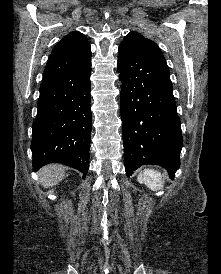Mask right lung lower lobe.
<instances>
[{"instance_id": "1", "label": "right lung lower lobe", "mask_w": 221, "mask_h": 274, "mask_svg": "<svg viewBox=\"0 0 221 274\" xmlns=\"http://www.w3.org/2000/svg\"><path fill=\"white\" fill-rule=\"evenodd\" d=\"M91 62L40 86L33 123V170L61 163L87 174L91 138Z\"/></svg>"}]
</instances>
